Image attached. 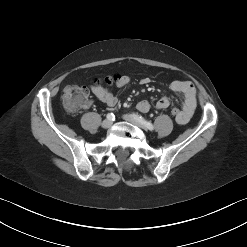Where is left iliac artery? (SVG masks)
Returning a JSON list of instances; mask_svg holds the SVG:
<instances>
[{"label":"left iliac artery","instance_id":"left-iliac-artery-1","mask_svg":"<svg viewBox=\"0 0 247 247\" xmlns=\"http://www.w3.org/2000/svg\"><path fill=\"white\" fill-rule=\"evenodd\" d=\"M133 116L141 123L143 124L147 129L149 130H153L154 129V126L151 122L145 120L142 116L140 115H137V114H133Z\"/></svg>","mask_w":247,"mask_h":247}]
</instances>
